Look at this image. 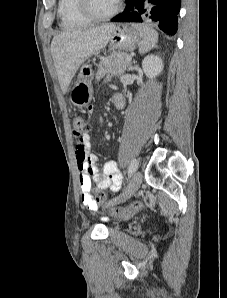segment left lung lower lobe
<instances>
[{"label":"left lung lower lobe","mask_w":227,"mask_h":298,"mask_svg":"<svg viewBox=\"0 0 227 298\" xmlns=\"http://www.w3.org/2000/svg\"><path fill=\"white\" fill-rule=\"evenodd\" d=\"M181 0H127L124 11L112 22H145L157 25L163 32L177 31Z\"/></svg>","instance_id":"left-lung-lower-lobe-1"}]
</instances>
